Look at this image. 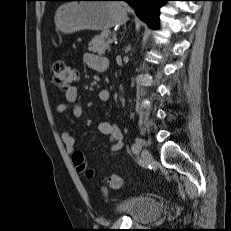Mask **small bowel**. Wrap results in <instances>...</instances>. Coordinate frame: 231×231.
Here are the masks:
<instances>
[{
  "instance_id": "1",
  "label": "small bowel",
  "mask_w": 231,
  "mask_h": 231,
  "mask_svg": "<svg viewBox=\"0 0 231 231\" xmlns=\"http://www.w3.org/2000/svg\"><path fill=\"white\" fill-rule=\"evenodd\" d=\"M84 61L88 67L93 70L98 71V67L103 64H107V60L103 57L88 53L84 56ZM99 100L103 103H107L110 100V92L108 90H101L99 92ZM66 102L58 103L56 106V112L59 114H64L68 110V103H71L72 114L75 118H81L83 116V108L77 103L78 99V89L75 86L70 87L65 90ZM98 131L101 134L108 135L111 142V150L118 151L123 146V135L121 130L116 124L109 122H100L98 124ZM62 142L64 143L66 150L68 152H73L75 150V138L72 132L64 131L61 134Z\"/></svg>"
}]
</instances>
